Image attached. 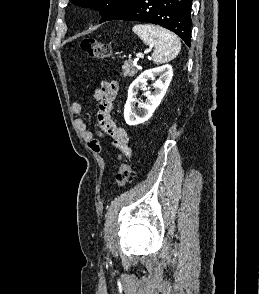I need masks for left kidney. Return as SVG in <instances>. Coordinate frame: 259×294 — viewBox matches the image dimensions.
<instances>
[{
	"mask_svg": "<svg viewBox=\"0 0 259 294\" xmlns=\"http://www.w3.org/2000/svg\"><path fill=\"white\" fill-rule=\"evenodd\" d=\"M155 76L159 79L154 83V92L147 91V81ZM173 77L172 66L169 64L149 69L141 73L130 85L128 98L124 107V118L128 125L135 126L151 118L155 109L160 105ZM139 89L146 90V102H138L135 107Z\"/></svg>",
	"mask_w": 259,
	"mask_h": 294,
	"instance_id": "5707ae66",
	"label": "left kidney"
}]
</instances>
